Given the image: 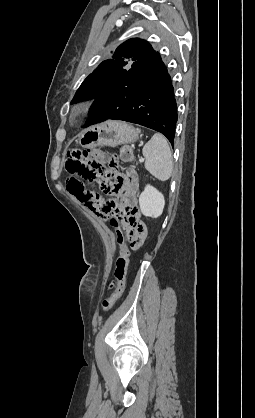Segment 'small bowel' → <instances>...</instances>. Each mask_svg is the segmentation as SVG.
Masks as SVG:
<instances>
[{
	"instance_id": "obj_1",
	"label": "small bowel",
	"mask_w": 255,
	"mask_h": 418,
	"mask_svg": "<svg viewBox=\"0 0 255 418\" xmlns=\"http://www.w3.org/2000/svg\"><path fill=\"white\" fill-rule=\"evenodd\" d=\"M111 163H120V154H111ZM113 193L121 199V211L126 212L136 205V195L139 189L138 175L134 171L118 174L113 183ZM120 234L127 237L129 249H141L147 236L146 228H121Z\"/></svg>"
}]
</instances>
